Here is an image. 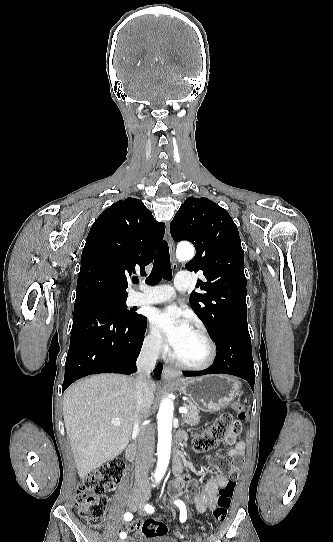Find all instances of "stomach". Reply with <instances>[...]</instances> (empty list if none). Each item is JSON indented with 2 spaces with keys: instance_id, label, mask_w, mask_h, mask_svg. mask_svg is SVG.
<instances>
[{
  "instance_id": "obj_1",
  "label": "stomach",
  "mask_w": 333,
  "mask_h": 542,
  "mask_svg": "<svg viewBox=\"0 0 333 542\" xmlns=\"http://www.w3.org/2000/svg\"><path fill=\"white\" fill-rule=\"evenodd\" d=\"M181 394H185L200 410L219 412L240 396L241 384L233 376H200L191 380H178L176 384Z\"/></svg>"
}]
</instances>
